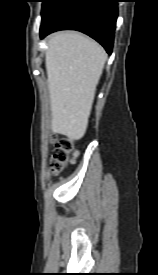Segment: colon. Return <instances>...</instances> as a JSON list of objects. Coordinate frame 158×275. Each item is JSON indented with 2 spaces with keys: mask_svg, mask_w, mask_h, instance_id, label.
<instances>
[{
  "mask_svg": "<svg viewBox=\"0 0 158 275\" xmlns=\"http://www.w3.org/2000/svg\"><path fill=\"white\" fill-rule=\"evenodd\" d=\"M77 155V150L70 137L55 141V147L51 154V169L53 173H59L62 169L72 163Z\"/></svg>",
  "mask_w": 158,
  "mask_h": 275,
  "instance_id": "obj_1",
  "label": "colon"
}]
</instances>
